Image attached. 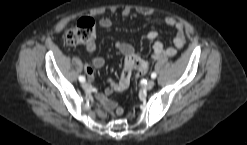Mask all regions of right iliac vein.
I'll return each instance as SVG.
<instances>
[{
  "label": "right iliac vein",
  "mask_w": 247,
  "mask_h": 145,
  "mask_svg": "<svg viewBox=\"0 0 247 145\" xmlns=\"http://www.w3.org/2000/svg\"><path fill=\"white\" fill-rule=\"evenodd\" d=\"M82 88L84 90H89L91 88V85L88 82H83L82 83Z\"/></svg>",
  "instance_id": "right-iliac-vein-1"
}]
</instances>
